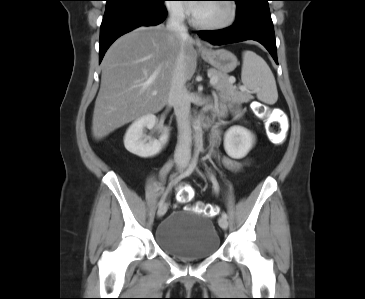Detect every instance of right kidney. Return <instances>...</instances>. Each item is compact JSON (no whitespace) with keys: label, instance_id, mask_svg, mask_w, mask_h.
Listing matches in <instances>:
<instances>
[{"label":"right kidney","instance_id":"1","mask_svg":"<svg viewBox=\"0 0 365 299\" xmlns=\"http://www.w3.org/2000/svg\"><path fill=\"white\" fill-rule=\"evenodd\" d=\"M157 123L155 115L149 114L138 118L128 128L124 137V146L132 154L148 158L158 154L168 142L169 131L164 128L160 138L152 139L143 134L144 128L153 129Z\"/></svg>","mask_w":365,"mask_h":299}]
</instances>
